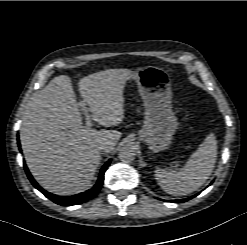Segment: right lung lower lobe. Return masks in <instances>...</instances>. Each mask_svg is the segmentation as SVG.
Wrapping results in <instances>:
<instances>
[{
    "label": "right lung lower lobe",
    "mask_w": 247,
    "mask_h": 245,
    "mask_svg": "<svg viewBox=\"0 0 247 245\" xmlns=\"http://www.w3.org/2000/svg\"><path fill=\"white\" fill-rule=\"evenodd\" d=\"M110 164V160L107 161L105 163V165L101 168L100 174H99V178L97 180V183L94 185L93 188L73 195V196H57L54 194H51L47 191H45L44 189H42L37 182L33 179L32 175L30 174L28 168L26 167V165H24L25 171L27 173V176L29 178V180L31 181V183L33 184V186L35 188H37L40 192H42L47 198H49L50 200H52L53 202H55L56 204L62 205V206H69V205H76V204H81L83 202H86L90 199H92L93 197H95L99 190L102 187L103 181H104V173L107 170L108 166Z\"/></svg>",
    "instance_id": "1"
}]
</instances>
